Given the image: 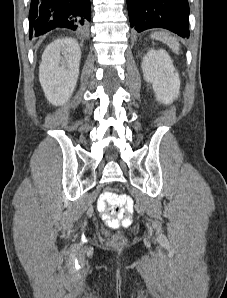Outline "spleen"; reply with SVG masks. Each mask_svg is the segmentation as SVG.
<instances>
[{
	"label": "spleen",
	"mask_w": 227,
	"mask_h": 298,
	"mask_svg": "<svg viewBox=\"0 0 227 298\" xmlns=\"http://www.w3.org/2000/svg\"><path fill=\"white\" fill-rule=\"evenodd\" d=\"M151 38L162 41L165 44H167L174 52L176 53L179 52V49H180L179 42L168 33L162 32V31L154 32L151 34Z\"/></svg>",
	"instance_id": "obj_1"
}]
</instances>
